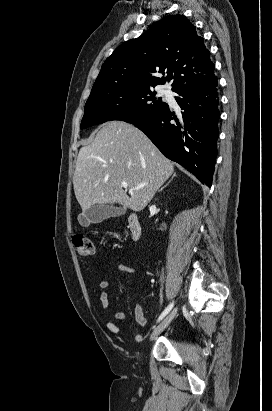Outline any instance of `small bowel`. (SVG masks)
Listing matches in <instances>:
<instances>
[{
  "mask_svg": "<svg viewBox=\"0 0 272 411\" xmlns=\"http://www.w3.org/2000/svg\"><path fill=\"white\" fill-rule=\"evenodd\" d=\"M117 270L119 272L122 273H137V270L133 267L124 265V264H120L117 267ZM111 282L108 279H104L100 282L99 286L102 289L100 295H99V299L101 302V306L102 308L106 311L109 308V298H108V294L105 291L109 286H110ZM134 314H135V319L137 324L142 327V328H146L147 327V318L144 315L143 309L141 307V305L137 304L134 308ZM114 318L119 320V321H125L127 319V315L124 312L118 311L115 312L114 314ZM107 329L113 333V334H119L120 333V328L113 322V321H108L106 324ZM134 340L136 342H141L143 340V334L141 333H137L134 335Z\"/></svg>",
  "mask_w": 272,
  "mask_h": 411,
  "instance_id": "c3829d8e",
  "label": "small bowel"
}]
</instances>
